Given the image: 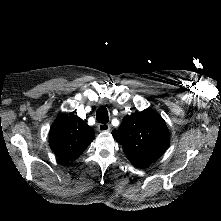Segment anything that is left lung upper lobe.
Wrapping results in <instances>:
<instances>
[{"label": "left lung upper lobe", "instance_id": "left-lung-upper-lobe-1", "mask_svg": "<svg viewBox=\"0 0 221 221\" xmlns=\"http://www.w3.org/2000/svg\"><path fill=\"white\" fill-rule=\"evenodd\" d=\"M112 135L137 167L154 163L166 151L170 141L164 119L151 108L126 115Z\"/></svg>", "mask_w": 221, "mask_h": 221}]
</instances>
